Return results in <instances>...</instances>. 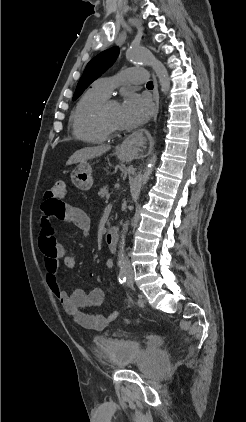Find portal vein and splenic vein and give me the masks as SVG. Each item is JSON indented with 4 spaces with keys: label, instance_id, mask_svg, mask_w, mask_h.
<instances>
[{
    "label": "portal vein and splenic vein",
    "instance_id": "portal-vein-and-splenic-vein-1",
    "mask_svg": "<svg viewBox=\"0 0 246 422\" xmlns=\"http://www.w3.org/2000/svg\"><path fill=\"white\" fill-rule=\"evenodd\" d=\"M109 198H110V195H109V194H107V196H106L107 201L109 200Z\"/></svg>",
    "mask_w": 246,
    "mask_h": 422
}]
</instances>
